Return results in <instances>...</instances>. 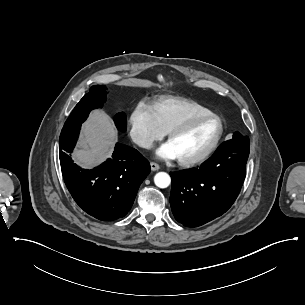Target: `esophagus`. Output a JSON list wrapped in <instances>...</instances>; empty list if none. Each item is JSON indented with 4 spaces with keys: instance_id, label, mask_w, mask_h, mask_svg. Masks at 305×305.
Listing matches in <instances>:
<instances>
[{
    "instance_id": "esophagus-1",
    "label": "esophagus",
    "mask_w": 305,
    "mask_h": 305,
    "mask_svg": "<svg viewBox=\"0 0 305 305\" xmlns=\"http://www.w3.org/2000/svg\"><path fill=\"white\" fill-rule=\"evenodd\" d=\"M150 166H151V170L152 171H157V170L160 169V166L157 163H155V162H151Z\"/></svg>"
}]
</instances>
